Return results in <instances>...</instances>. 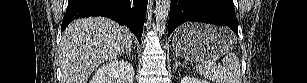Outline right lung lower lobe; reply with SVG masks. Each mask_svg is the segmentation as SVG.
<instances>
[{"label":"right lung lower lobe","mask_w":307,"mask_h":83,"mask_svg":"<svg viewBox=\"0 0 307 83\" xmlns=\"http://www.w3.org/2000/svg\"><path fill=\"white\" fill-rule=\"evenodd\" d=\"M148 0H68L61 31L81 17L103 16L125 24L141 41Z\"/></svg>","instance_id":"1"}]
</instances>
